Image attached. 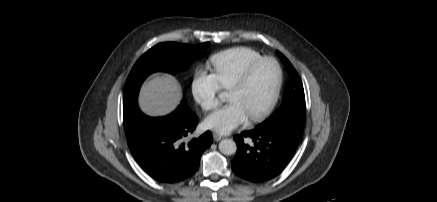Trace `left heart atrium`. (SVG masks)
<instances>
[{
  "instance_id": "1",
  "label": "left heart atrium",
  "mask_w": 437,
  "mask_h": 202,
  "mask_svg": "<svg viewBox=\"0 0 437 202\" xmlns=\"http://www.w3.org/2000/svg\"><path fill=\"white\" fill-rule=\"evenodd\" d=\"M247 115L239 102H230L204 120V126L221 134L230 133L232 130L247 120Z\"/></svg>"
}]
</instances>
